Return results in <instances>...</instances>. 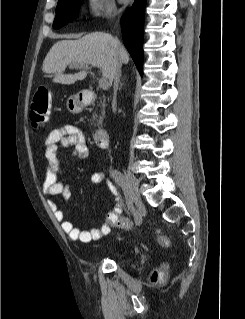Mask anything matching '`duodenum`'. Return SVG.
Returning <instances> with one entry per match:
<instances>
[{"mask_svg": "<svg viewBox=\"0 0 245 319\" xmlns=\"http://www.w3.org/2000/svg\"><path fill=\"white\" fill-rule=\"evenodd\" d=\"M95 100V96L93 94H86L84 103L90 104ZM95 143L99 148H107L109 146V133L104 129H98L94 135Z\"/></svg>", "mask_w": 245, "mask_h": 319, "instance_id": "410a0bca", "label": "duodenum"}]
</instances>
